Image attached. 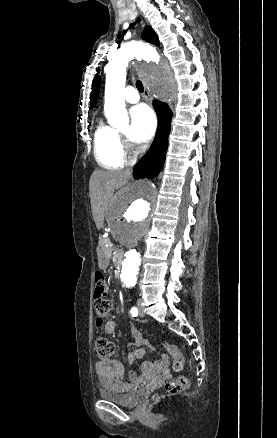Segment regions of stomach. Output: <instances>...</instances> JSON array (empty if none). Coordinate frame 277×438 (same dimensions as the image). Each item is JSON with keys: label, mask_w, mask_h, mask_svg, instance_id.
<instances>
[{"label": "stomach", "mask_w": 277, "mask_h": 438, "mask_svg": "<svg viewBox=\"0 0 277 438\" xmlns=\"http://www.w3.org/2000/svg\"><path fill=\"white\" fill-rule=\"evenodd\" d=\"M98 264L100 268H106L109 264V257L106 256L102 251L98 252Z\"/></svg>", "instance_id": "1"}]
</instances>
